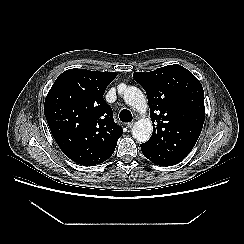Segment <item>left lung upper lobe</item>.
I'll return each mask as SVG.
<instances>
[{"mask_svg": "<svg viewBox=\"0 0 244 244\" xmlns=\"http://www.w3.org/2000/svg\"><path fill=\"white\" fill-rule=\"evenodd\" d=\"M133 78L146 91L153 123L151 138L141 144L142 153L159 166L179 163L191 152L203 127L201 83L177 64L135 72Z\"/></svg>", "mask_w": 244, "mask_h": 244, "instance_id": "left-lung-upper-lobe-1", "label": "left lung upper lobe"}]
</instances>
